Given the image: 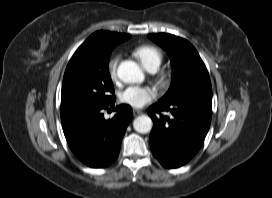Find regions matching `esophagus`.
<instances>
[{"instance_id": "1", "label": "esophagus", "mask_w": 272, "mask_h": 198, "mask_svg": "<svg viewBox=\"0 0 272 198\" xmlns=\"http://www.w3.org/2000/svg\"><path fill=\"white\" fill-rule=\"evenodd\" d=\"M142 113H143V112H142L141 110H139V109H133V115H134L135 117L141 115Z\"/></svg>"}]
</instances>
